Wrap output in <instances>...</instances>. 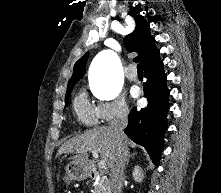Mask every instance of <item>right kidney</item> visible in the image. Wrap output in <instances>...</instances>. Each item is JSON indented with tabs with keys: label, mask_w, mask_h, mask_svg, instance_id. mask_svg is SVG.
Returning a JSON list of instances; mask_svg holds the SVG:
<instances>
[{
	"label": "right kidney",
	"mask_w": 221,
	"mask_h": 193,
	"mask_svg": "<svg viewBox=\"0 0 221 193\" xmlns=\"http://www.w3.org/2000/svg\"><path fill=\"white\" fill-rule=\"evenodd\" d=\"M132 175H133V178H134V180L136 182L141 183L143 181V179H144L143 170H142V168L139 165L134 167Z\"/></svg>",
	"instance_id": "right-kidney-1"
}]
</instances>
